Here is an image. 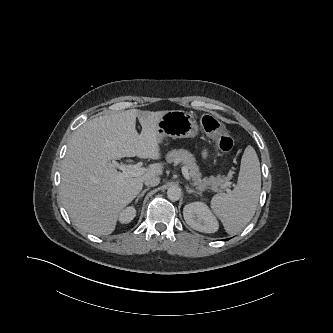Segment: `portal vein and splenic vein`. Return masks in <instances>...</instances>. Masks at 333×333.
I'll use <instances>...</instances> for the list:
<instances>
[{"label":"portal vein and splenic vein","mask_w":333,"mask_h":333,"mask_svg":"<svg viewBox=\"0 0 333 333\" xmlns=\"http://www.w3.org/2000/svg\"><path fill=\"white\" fill-rule=\"evenodd\" d=\"M111 167L118 168L119 170L122 171L120 173L119 178L122 179L124 177H136L139 175H142L144 173V168H141L137 165H130V164H122V163H117V162H112L110 163ZM182 173L183 176L186 180H190L189 172L188 170L183 167L182 168ZM228 192H230V189H226Z\"/></svg>","instance_id":"1"}]
</instances>
